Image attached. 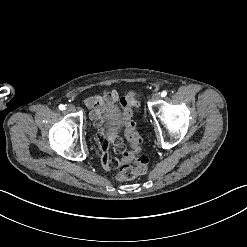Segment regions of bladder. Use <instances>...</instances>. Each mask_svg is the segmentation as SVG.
<instances>
[{"instance_id":"obj_1","label":"bladder","mask_w":247,"mask_h":247,"mask_svg":"<svg viewBox=\"0 0 247 247\" xmlns=\"http://www.w3.org/2000/svg\"><path fill=\"white\" fill-rule=\"evenodd\" d=\"M120 114V106L116 104H107L102 113L103 120L112 127L121 126Z\"/></svg>"}]
</instances>
